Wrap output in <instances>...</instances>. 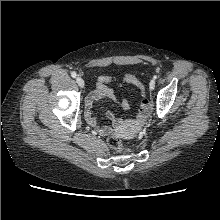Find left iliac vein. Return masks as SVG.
<instances>
[{"mask_svg": "<svg viewBox=\"0 0 220 220\" xmlns=\"http://www.w3.org/2000/svg\"><path fill=\"white\" fill-rule=\"evenodd\" d=\"M149 88H150V90H153V89L155 88V80H154V79H152V80L150 81V83H149Z\"/></svg>", "mask_w": 220, "mask_h": 220, "instance_id": "left-iliac-vein-1", "label": "left iliac vein"}]
</instances>
